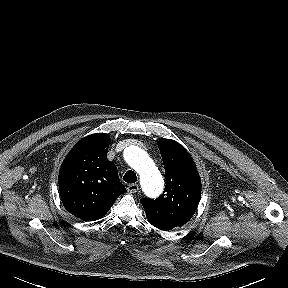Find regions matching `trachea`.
Returning <instances> with one entry per match:
<instances>
[{
	"mask_svg": "<svg viewBox=\"0 0 288 288\" xmlns=\"http://www.w3.org/2000/svg\"><path fill=\"white\" fill-rule=\"evenodd\" d=\"M123 179L127 183H135L137 181V176L132 170H129L125 173Z\"/></svg>",
	"mask_w": 288,
	"mask_h": 288,
	"instance_id": "trachea-1",
	"label": "trachea"
}]
</instances>
